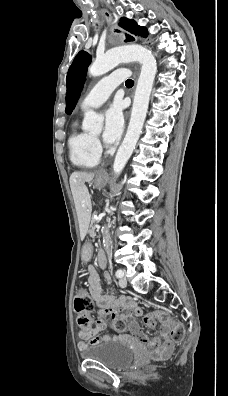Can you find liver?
I'll use <instances>...</instances> for the list:
<instances>
[{"label": "liver", "instance_id": "6515ba94", "mask_svg": "<svg viewBox=\"0 0 228 396\" xmlns=\"http://www.w3.org/2000/svg\"><path fill=\"white\" fill-rule=\"evenodd\" d=\"M94 178L93 173L74 172L70 176V188L73 195L75 208L80 224L81 238L86 235L87 225L91 214V198L85 182Z\"/></svg>", "mask_w": 228, "mask_h": 396}]
</instances>
